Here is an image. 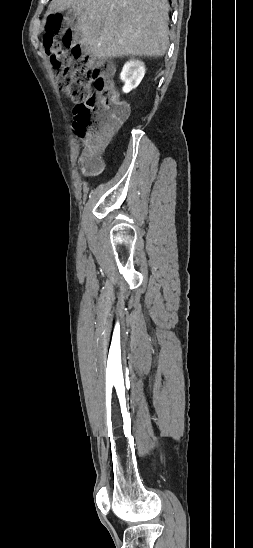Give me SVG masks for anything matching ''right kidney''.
Here are the masks:
<instances>
[{
    "instance_id": "obj_1",
    "label": "right kidney",
    "mask_w": 253,
    "mask_h": 548,
    "mask_svg": "<svg viewBox=\"0 0 253 548\" xmlns=\"http://www.w3.org/2000/svg\"><path fill=\"white\" fill-rule=\"evenodd\" d=\"M145 75L144 63L139 60H130L125 63L120 74L124 82L123 92L128 93L136 88Z\"/></svg>"
}]
</instances>
